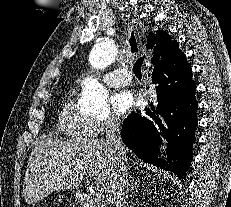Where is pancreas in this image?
<instances>
[{
  "instance_id": "cf45deb5",
  "label": "pancreas",
  "mask_w": 231,
  "mask_h": 207,
  "mask_svg": "<svg viewBox=\"0 0 231 207\" xmlns=\"http://www.w3.org/2000/svg\"><path fill=\"white\" fill-rule=\"evenodd\" d=\"M96 207H102L99 203L96 204Z\"/></svg>"
}]
</instances>
